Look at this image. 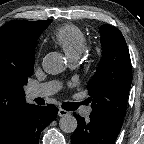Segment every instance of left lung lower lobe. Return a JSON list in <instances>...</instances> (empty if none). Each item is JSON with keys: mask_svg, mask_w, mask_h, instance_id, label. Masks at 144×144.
I'll return each mask as SVG.
<instances>
[{"mask_svg": "<svg viewBox=\"0 0 144 144\" xmlns=\"http://www.w3.org/2000/svg\"><path fill=\"white\" fill-rule=\"evenodd\" d=\"M77 129L71 136L72 144H114L121 128L113 126L92 115L90 119H85L76 113Z\"/></svg>", "mask_w": 144, "mask_h": 144, "instance_id": "obj_1", "label": "left lung lower lobe"}]
</instances>
